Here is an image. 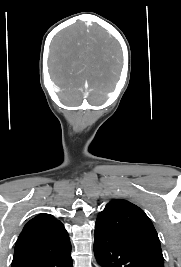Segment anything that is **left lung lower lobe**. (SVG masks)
<instances>
[{
    "instance_id": "0a47b994",
    "label": "left lung lower lobe",
    "mask_w": 181,
    "mask_h": 267,
    "mask_svg": "<svg viewBox=\"0 0 181 267\" xmlns=\"http://www.w3.org/2000/svg\"><path fill=\"white\" fill-rule=\"evenodd\" d=\"M94 254L102 267H164V263L107 235L94 234Z\"/></svg>"
}]
</instances>
